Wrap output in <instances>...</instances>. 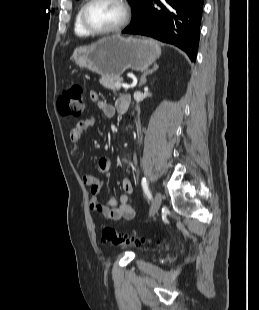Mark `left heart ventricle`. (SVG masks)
<instances>
[{
	"label": "left heart ventricle",
	"instance_id": "b2bd125f",
	"mask_svg": "<svg viewBox=\"0 0 259 310\" xmlns=\"http://www.w3.org/2000/svg\"><path fill=\"white\" fill-rule=\"evenodd\" d=\"M86 16L94 28L107 29L121 21L123 10L115 0H96L89 6Z\"/></svg>",
	"mask_w": 259,
	"mask_h": 310
}]
</instances>
